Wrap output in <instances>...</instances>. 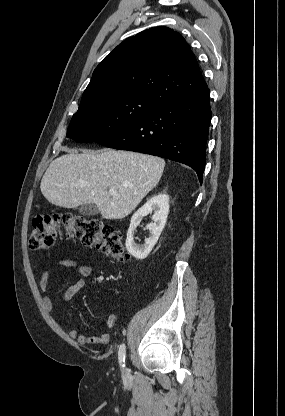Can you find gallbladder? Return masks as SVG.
<instances>
[{"instance_id":"1","label":"gallbladder","mask_w":285,"mask_h":416,"mask_svg":"<svg viewBox=\"0 0 285 416\" xmlns=\"http://www.w3.org/2000/svg\"><path fill=\"white\" fill-rule=\"evenodd\" d=\"M79 214H82V216H96V214H99V210L95 204H83L79 208Z\"/></svg>"}]
</instances>
